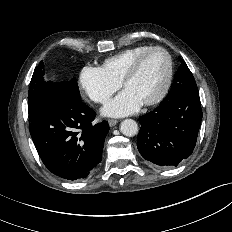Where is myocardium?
Masks as SVG:
<instances>
[{"instance_id":"f54148a6","label":"myocardium","mask_w":232,"mask_h":232,"mask_svg":"<svg viewBox=\"0 0 232 232\" xmlns=\"http://www.w3.org/2000/svg\"><path fill=\"white\" fill-rule=\"evenodd\" d=\"M155 51H160L163 52L168 60V72H167V77L165 80V83L161 89V91L151 100H148L146 102H144L143 104L145 106H153L156 105L158 103H160L168 94L170 87L172 85V81H173V76H174V63H173V59L171 54L169 53L168 50H166L163 47L160 46H154V47H150L147 50L141 52L130 64V66L128 67L127 71L125 72L121 82H120V86L122 88H125L126 84L137 74L141 63L143 62V60L145 59L146 56H148L149 54L155 52Z\"/></svg>"}]
</instances>
